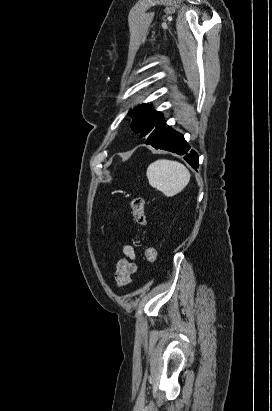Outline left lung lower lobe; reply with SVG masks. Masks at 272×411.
<instances>
[{"label":"left lung lower lobe","instance_id":"left-lung-lower-lobe-1","mask_svg":"<svg viewBox=\"0 0 272 411\" xmlns=\"http://www.w3.org/2000/svg\"><path fill=\"white\" fill-rule=\"evenodd\" d=\"M146 144L152 145L156 149H163L178 155H184V159L193 167H198V155L195 151L189 149L190 146L185 141L182 134L172 129L170 126L164 124L157 131L152 132Z\"/></svg>","mask_w":272,"mask_h":411}]
</instances>
